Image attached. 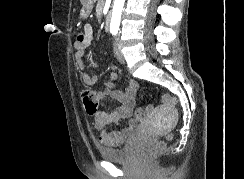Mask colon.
I'll use <instances>...</instances> for the list:
<instances>
[{"mask_svg": "<svg viewBox=\"0 0 244 179\" xmlns=\"http://www.w3.org/2000/svg\"><path fill=\"white\" fill-rule=\"evenodd\" d=\"M80 96L86 113L88 115H95L98 112V103L93 89L90 87L83 88L80 91ZM160 96L166 104L174 105L176 102V96H169L168 93H161ZM152 108V104H149L148 107H144L143 104L136 107V111H133L132 115L137 116V123H146V119L149 117L148 112H150ZM162 141L163 142H155V147H149V150H144L143 158H154V155H158V152H164V147H166L168 138L163 137Z\"/></svg>", "mask_w": 244, "mask_h": 179, "instance_id": "colon-1", "label": "colon"}]
</instances>
